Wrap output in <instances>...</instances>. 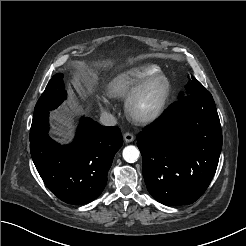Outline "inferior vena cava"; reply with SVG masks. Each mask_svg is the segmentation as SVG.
<instances>
[{"instance_id":"inferior-vena-cava-1","label":"inferior vena cava","mask_w":246,"mask_h":246,"mask_svg":"<svg viewBox=\"0 0 246 246\" xmlns=\"http://www.w3.org/2000/svg\"><path fill=\"white\" fill-rule=\"evenodd\" d=\"M100 123L104 126H115L117 121L112 114L104 112L100 116Z\"/></svg>"}]
</instances>
